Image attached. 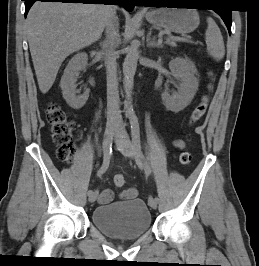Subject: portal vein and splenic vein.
Listing matches in <instances>:
<instances>
[{
  "mask_svg": "<svg viewBox=\"0 0 259 266\" xmlns=\"http://www.w3.org/2000/svg\"><path fill=\"white\" fill-rule=\"evenodd\" d=\"M168 40H171V41H178V42H189L188 39H185V38H180V37H174V36H169L167 38Z\"/></svg>",
  "mask_w": 259,
  "mask_h": 266,
  "instance_id": "1",
  "label": "portal vein and splenic vein"
}]
</instances>
